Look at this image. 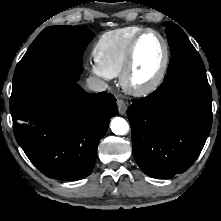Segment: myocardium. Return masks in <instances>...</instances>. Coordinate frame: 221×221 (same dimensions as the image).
I'll list each match as a JSON object with an SVG mask.
<instances>
[{"label": "myocardium", "mask_w": 221, "mask_h": 221, "mask_svg": "<svg viewBox=\"0 0 221 221\" xmlns=\"http://www.w3.org/2000/svg\"><path fill=\"white\" fill-rule=\"evenodd\" d=\"M147 34H154L160 39L162 46H163V51H164L163 60L156 76L150 82L142 86H136L131 81V75H132L134 64H135L136 49L140 40ZM169 60H170V50H169V45L165 37L159 31L155 29H151V28L143 29L133 38L127 50L125 63H124L122 72L120 74V81H121L123 88L127 92L136 96H145V95L152 93L162 83L165 77L166 71L168 69Z\"/></svg>", "instance_id": "obj_1"}]
</instances>
